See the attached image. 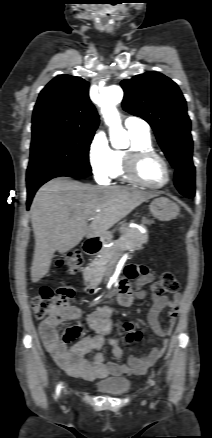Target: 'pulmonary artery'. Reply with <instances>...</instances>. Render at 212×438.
I'll use <instances>...</instances> for the list:
<instances>
[{
    "mask_svg": "<svg viewBox=\"0 0 212 438\" xmlns=\"http://www.w3.org/2000/svg\"><path fill=\"white\" fill-rule=\"evenodd\" d=\"M129 132L149 134L150 127L147 122L137 116H128L124 123Z\"/></svg>",
    "mask_w": 212,
    "mask_h": 438,
    "instance_id": "obj_1",
    "label": "pulmonary artery"
}]
</instances>
